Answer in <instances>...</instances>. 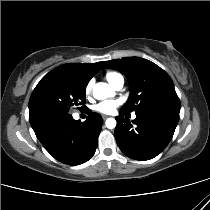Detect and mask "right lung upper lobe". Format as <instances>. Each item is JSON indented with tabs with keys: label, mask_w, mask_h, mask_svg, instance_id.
Wrapping results in <instances>:
<instances>
[{
	"label": "right lung upper lobe",
	"mask_w": 210,
	"mask_h": 210,
	"mask_svg": "<svg viewBox=\"0 0 210 210\" xmlns=\"http://www.w3.org/2000/svg\"><path fill=\"white\" fill-rule=\"evenodd\" d=\"M104 62L92 64L68 63L53 69L43 78L53 75H63L74 78L84 84H88L89 80L99 71Z\"/></svg>",
	"instance_id": "right-lung-upper-lobe-1"
}]
</instances>
